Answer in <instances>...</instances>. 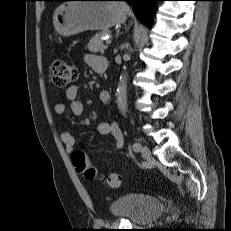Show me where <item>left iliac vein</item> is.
Instances as JSON below:
<instances>
[{
	"mask_svg": "<svg viewBox=\"0 0 231 231\" xmlns=\"http://www.w3.org/2000/svg\"><path fill=\"white\" fill-rule=\"evenodd\" d=\"M141 155H142L143 159L146 161H151V159H152L151 151L147 146H143L141 148Z\"/></svg>",
	"mask_w": 231,
	"mask_h": 231,
	"instance_id": "obj_1",
	"label": "left iliac vein"
}]
</instances>
